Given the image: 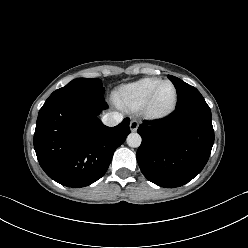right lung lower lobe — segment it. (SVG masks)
<instances>
[{"instance_id":"98d812e1","label":"right lung lower lobe","mask_w":248,"mask_h":248,"mask_svg":"<svg viewBox=\"0 0 248 248\" xmlns=\"http://www.w3.org/2000/svg\"><path fill=\"white\" fill-rule=\"evenodd\" d=\"M103 96L84 92L51 95L39 111L34 149L40 166L56 182L88 186L109 167L114 151L130 133L128 118L107 127L97 118Z\"/></svg>"}]
</instances>
